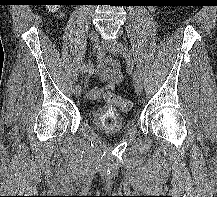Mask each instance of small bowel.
Here are the masks:
<instances>
[{
    "label": "small bowel",
    "instance_id": "c3829d8e",
    "mask_svg": "<svg viewBox=\"0 0 217 197\" xmlns=\"http://www.w3.org/2000/svg\"><path fill=\"white\" fill-rule=\"evenodd\" d=\"M96 71L105 85L88 91V97L93 100L100 99L105 91L114 90L123 78L120 63L113 57L106 56L104 50L98 55Z\"/></svg>",
    "mask_w": 217,
    "mask_h": 197
}]
</instances>
